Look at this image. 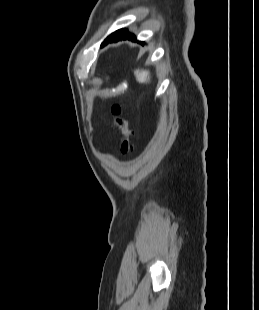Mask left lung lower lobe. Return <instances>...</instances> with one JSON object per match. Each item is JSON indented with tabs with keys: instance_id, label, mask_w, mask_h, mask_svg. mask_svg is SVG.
Segmentation results:
<instances>
[{
	"instance_id": "left-lung-lower-lobe-1",
	"label": "left lung lower lobe",
	"mask_w": 259,
	"mask_h": 310,
	"mask_svg": "<svg viewBox=\"0 0 259 310\" xmlns=\"http://www.w3.org/2000/svg\"><path fill=\"white\" fill-rule=\"evenodd\" d=\"M123 39L136 41L135 35L129 33L127 29H120L109 35L102 45L108 44L109 42H117ZM142 44H144V42H142Z\"/></svg>"
}]
</instances>
